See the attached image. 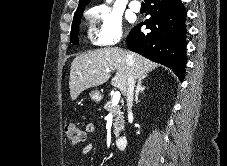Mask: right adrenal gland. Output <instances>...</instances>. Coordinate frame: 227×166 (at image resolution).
<instances>
[{"instance_id":"obj_1","label":"right adrenal gland","mask_w":227,"mask_h":166,"mask_svg":"<svg viewBox=\"0 0 227 166\" xmlns=\"http://www.w3.org/2000/svg\"><path fill=\"white\" fill-rule=\"evenodd\" d=\"M142 79H139L137 82V87H136V94H135V103L137 104L139 102V94L142 93L145 90V87L142 86Z\"/></svg>"}]
</instances>
